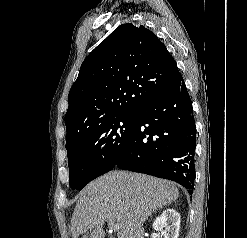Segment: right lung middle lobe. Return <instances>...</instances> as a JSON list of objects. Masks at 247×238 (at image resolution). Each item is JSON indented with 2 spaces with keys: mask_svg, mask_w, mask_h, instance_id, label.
<instances>
[{
  "mask_svg": "<svg viewBox=\"0 0 247 238\" xmlns=\"http://www.w3.org/2000/svg\"><path fill=\"white\" fill-rule=\"evenodd\" d=\"M136 121V113L119 115L87 129L66 146L71 188L81 190L114 168Z\"/></svg>",
  "mask_w": 247,
  "mask_h": 238,
  "instance_id": "dd1d6c3e",
  "label": "right lung middle lobe"
}]
</instances>
